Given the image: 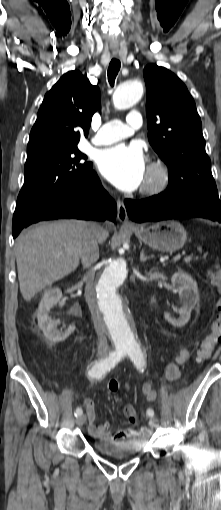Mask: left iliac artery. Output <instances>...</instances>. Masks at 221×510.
<instances>
[{
  "label": "left iliac artery",
  "instance_id": "1",
  "mask_svg": "<svg viewBox=\"0 0 221 510\" xmlns=\"http://www.w3.org/2000/svg\"><path fill=\"white\" fill-rule=\"evenodd\" d=\"M124 353L128 354V356L138 369H142L145 366L146 364L145 355L138 344L130 345L129 348L124 351ZM147 415L153 417L154 410L151 408L147 409Z\"/></svg>",
  "mask_w": 221,
  "mask_h": 510
}]
</instances>
